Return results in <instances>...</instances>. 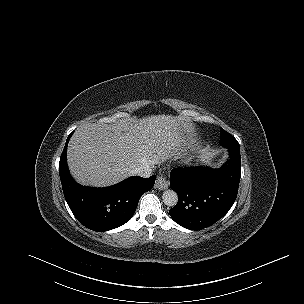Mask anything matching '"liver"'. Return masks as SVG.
Returning <instances> with one entry per match:
<instances>
[{"label":"liver","mask_w":304,"mask_h":304,"mask_svg":"<svg viewBox=\"0 0 304 304\" xmlns=\"http://www.w3.org/2000/svg\"><path fill=\"white\" fill-rule=\"evenodd\" d=\"M190 129L179 117L169 115L131 118L115 126H85L68 145L70 172L83 185L116 184L142 163L154 165L173 156L185 142L181 131Z\"/></svg>","instance_id":"obj_1"}]
</instances>
